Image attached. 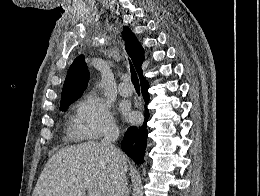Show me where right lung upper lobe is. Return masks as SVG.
<instances>
[{
	"label": "right lung upper lobe",
	"mask_w": 260,
	"mask_h": 196,
	"mask_svg": "<svg viewBox=\"0 0 260 196\" xmlns=\"http://www.w3.org/2000/svg\"><path fill=\"white\" fill-rule=\"evenodd\" d=\"M123 39L125 40L126 51L130 56L133 65L138 72L140 79H143L141 70L144 61V50L138 42L134 33L128 27H124ZM89 72L82 55L78 56L70 66L62 90L60 109L78 99L87 87Z\"/></svg>",
	"instance_id": "1"
}]
</instances>
